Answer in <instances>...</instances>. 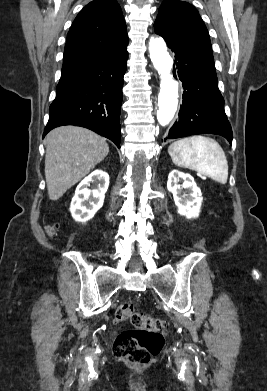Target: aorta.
Wrapping results in <instances>:
<instances>
[{
    "instance_id": "obj_1",
    "label": "aorta",
    "mask_w": 267,
    "mask_h": 391,
    "mask_svg": "<svg viewBox=\"0 0 267 391\" xmlns=\"http://www.w3.org/2000/svg\"><path fill=\"white\" fill-rule=\"evenodd\" d=\"M150 59L160 76V92L158 95L157 120L168 125L173 119L178 105V82L172 76L173 60L167 52L162 38L153 37L149 41Z\"/></svg>"
}]
</instances>
